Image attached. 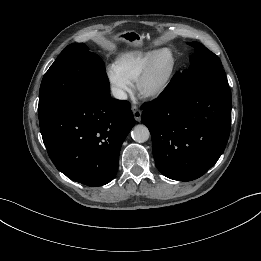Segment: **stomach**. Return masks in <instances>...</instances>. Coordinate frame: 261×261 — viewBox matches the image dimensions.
<instances>
[{"mask_svg":"<svg viewBox=\"0 0 261 261\" xmlns=\"http://www.w3.org/2000/svg\"><path fill=\"white\" fill-rule=\"evenodd\" d=\"M114 40L117 42L125 43L129 47H137L142 44V37L135 31H124L116 34Z\"/></svg>","mask_w":261,"mask_h":261,"instance_id":"0dacf381","label":"stomach"}]
</instances>
